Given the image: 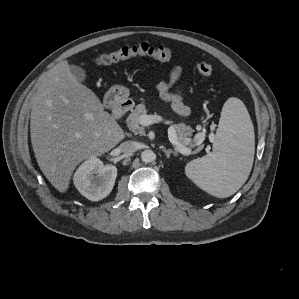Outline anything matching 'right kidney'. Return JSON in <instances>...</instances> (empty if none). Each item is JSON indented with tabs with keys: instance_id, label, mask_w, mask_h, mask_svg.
<instances>
[{
	"instance_id": "ca27d5eb",
	"label": "right kidney",
	"mask_w": 299,
	"mask_h": 299,
	"mask_svg": "<svg viewBox=\"0 0 299 299\" xmlns=\"http://www.w3.org/2000/svg\"><path fill=\"white\" fill-rule=\"evenodd\" d=\"M117 176L114 165H104L97 157L84 161L76 170L73 181L77 190L91 201H99L112 191Z\"/></svg>"
}]
</instances>
